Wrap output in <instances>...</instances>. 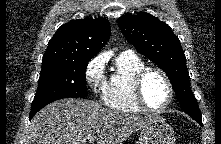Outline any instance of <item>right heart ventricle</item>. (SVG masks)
<instances>
[{
	"label": "right heart ventricle",
	"instance_id": "right-heart-ventricle-1",
	"mask_svg": "<svg viewBox=\"0 0 221 144\" xmlns=\"http://www.w3.org/2000/svg\"><path fill=\"white\" fill-rule=\"evenodd\" d=\"M144 66V62L135 54L118 55L103 97L108 107L130 113H139L143 110L134 98L133 78Z\"/></svg>",
	"mask_w": 221,
	"mask_h": 144
}]
</instances>
